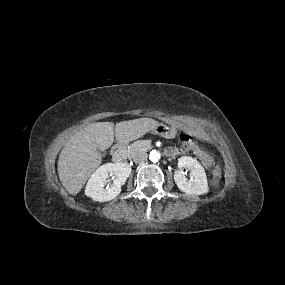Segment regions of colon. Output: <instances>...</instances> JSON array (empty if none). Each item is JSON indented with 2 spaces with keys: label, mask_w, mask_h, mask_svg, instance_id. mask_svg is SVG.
Wrapping results in <instances>:
<instances>
[{
  "label": "colon",
  "mask_w": 285,
  "mask_h": 285,
  "mask_svg": "<svg viewBox=\"0 0 285 285\" xmlns=\"http://www.w3.org/2000/svg\"><path fill=\"white\" fill-rule=\"evenodd\" d=\"M179 142L183 143L189 148H194L197 145V140L195 137L189 135L187 132H181L178 135ZM213 174L215 177V180L218 181L222 176V170L221 165L219 163L215 164L213 168Z\"/></svg>",
  "instance_id": "obj_1"
}]
</instances>
